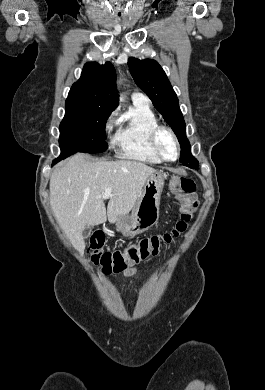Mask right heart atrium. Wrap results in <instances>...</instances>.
<instances>
[{"label": "right heart atrium", "instance_id": "right-heart-atrium-1", "mask_svg": "<svg viewBox=\"0 0 265 390\" xmlns=\"http://www.w3.org/2000/svg\"><path fill=\"white\" fill-rule=\"evenodd\" d=\"M114 124H115V120L113 119V114H112L105 124V130L110 131Z\"/></svg>", "mask_w": 265, "mask_h": 390}]
</instances>
